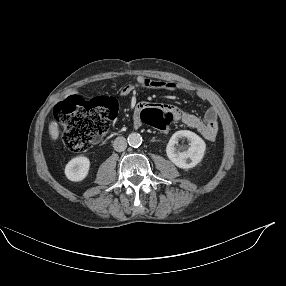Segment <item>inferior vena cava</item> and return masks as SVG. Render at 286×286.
I'll return each mask as SVG.
<instances>
[{"label": "inferior vena cava", "mask_w": 286, "mask_h": 286, "mask_svg": "<svg viewBox=\"0 0 286 286\" xmlns=\"http://www.w3.org/2000/svg\"><path fill=\"white\" fill-rule=\"evenodd\" d=\"M113 147L117 152H122L127 148V141L124 137H117L114 140Z\"/></svg>", "instance_id": "inferior-vena-cava-1"}]
</instances>
